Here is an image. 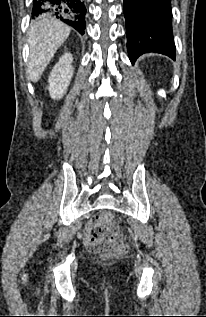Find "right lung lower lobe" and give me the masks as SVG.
<instances>
[{"label":"right lung lower lobe","instance_id":"1","mask_svg":"<svg viewBox=\"0 0 206 317\" xmlns=\"http://www.w3.org/2000/svg\"><path fill=\"white\" fill-rule=\"evenodd\" d=\"M53 14L84 34L86 6L84 0H33L32 18Z\"/></svg>","mask_w":206,"mask_h":317}]
</instances>
